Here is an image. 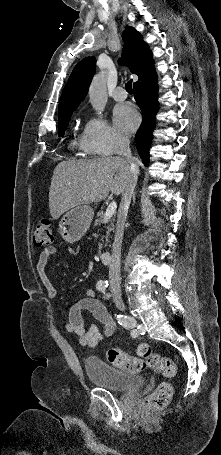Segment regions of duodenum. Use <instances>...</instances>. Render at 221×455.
<instances>
[{
    "mask_svg": "<svg viewBox=\"0 0 221 455\" xmlns=\"http://www.w3.org/2000/svg\"><path fill=\"white\" fill-rule=\"evenodd\" d=\"M100 258L104 264H109L112 261V253L109 250H103L100 253Z\"/></svg>",
    "mask_w": 221,
    "mask_h": 455,
    "instance_id": "duodenum-1",
    "label": "duodenum"
}]
</instances>
